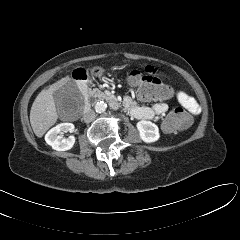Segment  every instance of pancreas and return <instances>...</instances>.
Segmentation results:
<instances>
[{"mask_svg":"<svg viewBox=\"0 0 240 240\" xmlns=\"http://www.w3.org/2000/svg\"><path fill=\"white\" fill-rule=\"evenodd\" d=\"M89 96L90 97H95V98L96 97H98V98H105L106 97V95L97 88L92 89V90L90 89L89 90Z\"/></svg>","mask_w":240,"mask_h":240,"instance_id":"obj_1","label":"pancreas"}]
</instances>
